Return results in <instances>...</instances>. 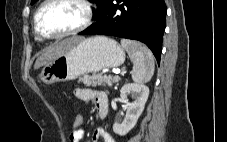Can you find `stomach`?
I'll return each mask as SVG.
<instances>
[{"label": "stomach", "mask_w": 227, "mask_h": 142, "mask_svg": "<svg viewBox=\"0 0 227 142\" xmlns=\"http://www.w3.org/2000/svg\"><path fill=\"white\" fill-rule=\"evenodd\" d=\"M124 61L125 51L116 41L105 36H94L83 39L50 61L39 77L45 84L65 82L83 74L118 67Z\"/></svg>", "instance_id": "stomach-1"}]
</instances>
